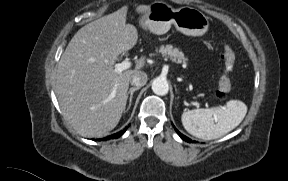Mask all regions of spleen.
<instances>
[{
    "instance_id": "spleen-1",
    "label": "spleen",
    "mask_w": 288,
    "mask_h": 181,
    "mask_svg": "<svg viewBox=\"0 0 288 181\" xmlns=\"http://www.w3.org/2000/svg\"><path fill=\"white\" fill-rule=\"evenodd\" d=\"M246 113L247 106L242 101L230 100L224 107L185 111L181 121L189 134L203 140H213L236 128Z\"/></svg>"
}]
</instances>
